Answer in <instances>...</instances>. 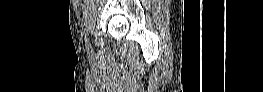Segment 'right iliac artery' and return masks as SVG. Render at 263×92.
<instances>
[{"label": "right iliac artery", "mask_w": 263, "mask_h": 92, "mask_svg": "<svg viewBox=\"0 0 263 92\" xmlns=\"http://www.w3.org/2000/svg\"><path fill=\"white\" fill-rule=\"evenodd\" d=\"M89 46H90V45L87 43V39H86V47L89 48Z\"/></svg>", "instance_id": "82829eb1"}]
</instances>
